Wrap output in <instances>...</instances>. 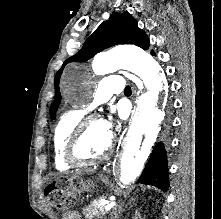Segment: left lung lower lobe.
<instances>
[{
  "instance_id": "left-lung-lower-lobe-1",
  "label": "left lung lower lobe",
  "mask_w": 221,
  "mask_h": 219,
  "mask_svg": "<svg viewBox=\"0 0 221 219\" xmlns=\"http://www.w3.org/2000/svg\"><path fill=\"white\" fill-rule=\"evenodd\" d=\"M152 55H155L151 51ZM137 183L154 185L163 191L168 189V162L163 143H158Z\"/></svg>"
}]
</instances>
